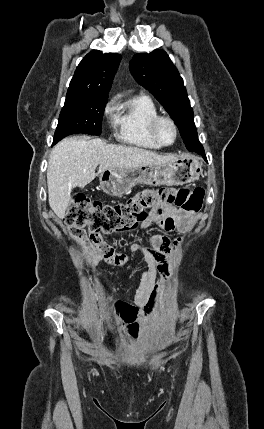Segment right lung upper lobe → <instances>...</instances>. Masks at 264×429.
Segmentation results:
<instances>
[{
	"label": "right lung upper lobe",
	"mask_w": 264,
	"mask_h": 429,
	"mask_svg": "<svg viewBox=\"0 0 264 429\" xmlns=\"http://www.w3.org/2000/svg\"><path fill=\"white\" fill-rule=\"evenodd\" d=\"M121 55L93 50L78 65L67 96L108 98Z\"/></svg>",
	"instance_id": "right-lung-upper-lobe-1"
}]
</instances>
